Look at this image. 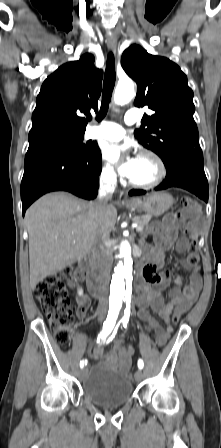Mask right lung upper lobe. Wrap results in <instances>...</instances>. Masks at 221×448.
Instances as JSON below:
<instances>
[{
    "label": "right lung upper lobe",
    "instance_id": "obj_1",
    "mask_svg": "<svg viewBox=\"0 0 221 448\" xmlns=\"http://www.w3.org/2000/svg\"><path fill=\"white\" fill-rule=\"evenodd\" d=\"M103 71L86 53L78 61L60 66L43 82L32 114L29 149L48 142L82 135L90 110L98 109Z\"/></svg>",
    "mask_w": 221,
    "mask_h": 448
}]
</instances>
